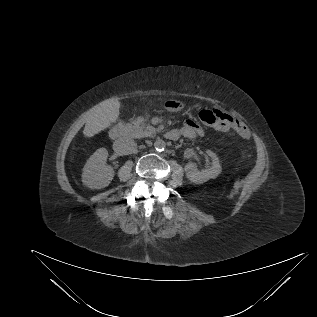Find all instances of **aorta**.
I'll return each mask as SVG.
<instances>
[{
	"label": "aorta",
	"mask_w": 317,
	"mask_h": 317,
	"mask_svg": "<svg viewBox=\"0 0 317 317\" xmlns=\"http://www.w3.org/2000/svg\"><path fill=\"white\" fill-rule=\"evenodd\" d=\"M154 147L157 151H163L166 147V143L164 140L162 139H158L155 141L154 143Z\"/></svg>",
	"instance_id": "aorta-1"
}]
</instances>
